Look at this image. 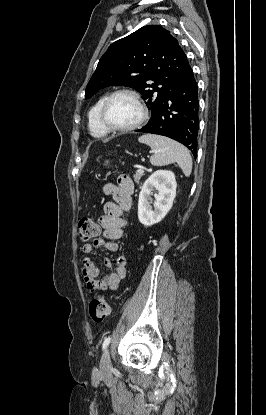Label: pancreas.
I'll list each match as a JSON object with an SVG mask.
<instances>
[{
	"instance_id": "pancreas-1",
	"label": "pancreas",
	"mask_w": 266,
	"mask_h": 415,
	"mask_svg": "<svg viewBox=\"0 0 266 415\" xmlns=\"http://www.w3.org/2000/svg\"><path fill=\"white\" fill-rule=\"evenodd\" d=\"M143 176V173H136L135 175H134V181L136 182V183H139V181H140V179H141V177Z\"/></svg>"
}]
</instances>
